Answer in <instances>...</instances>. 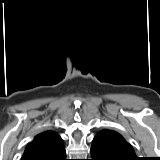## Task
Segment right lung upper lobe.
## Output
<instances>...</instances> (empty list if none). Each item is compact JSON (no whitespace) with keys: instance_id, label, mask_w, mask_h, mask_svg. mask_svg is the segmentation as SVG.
I'll use <instances>...</instances> for the list:
<instances>
[{"instance_id":"right-lung-upper-lobe-1","label":"right lung upper lobe","mask_w":160,"mask_h":160,"mask_svg":"<svg viewBox=\"0 0 160 160\" xmlns=\"http://www.w3.org/2000/svg\"><path fill=\"white\" fill-rule=\"evenodd\" d=\"M63 148V140L57 133L44 131L27 144L21 160H46Z\"/></svg>"}]
</instances>
